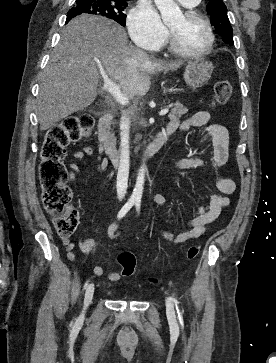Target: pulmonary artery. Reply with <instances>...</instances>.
<instances>
[{
  "label": "pulmonary artery",
  "mask_w": 276,
  "mask_h": 363,
  "mask_svg": "<svg viewBox=\"0 0 276 363\" xmlns=\"http://www.w3.org/2000/svg\"><path fill=\"white\" fill-rule=\"evenodd\" d=\"M179 3L187 8L195 7L199 0H178Z\"/></svg>",
  "instance_id": "pulmonary-artery-1"
}]
</instances>
